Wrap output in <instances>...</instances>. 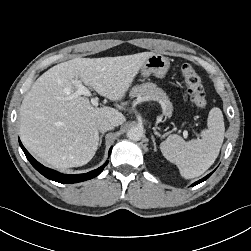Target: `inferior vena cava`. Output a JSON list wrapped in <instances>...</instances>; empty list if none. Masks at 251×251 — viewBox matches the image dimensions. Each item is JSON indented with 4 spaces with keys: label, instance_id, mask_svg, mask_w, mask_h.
<instances>
[{
    "label": "inferior vena cava",
    "instance_id": "inferior-vena-cava-1",
    "mask_svg": "<svg viewBox=\"0 0 251 251\" xmlns=\"http://www.w3.org/2000/svg\"><path fill=\"white\" fill-rule=\"evenodd\" d=\"M96 126H97V129L103 133V132L114 129L115 124L109 121L108 119L100 118L98 119Z\"/></svg>",
    "mask_w": 251,
    "mask_h": 251
}]
</instances>
